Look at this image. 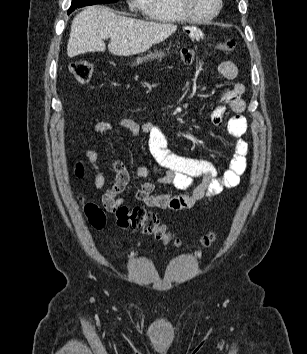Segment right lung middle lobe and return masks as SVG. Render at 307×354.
Instances as JSON below:
<instances>
[{"instance_id":"obj_1","label":"right lung middle lobe","mask_w":307,"mask_h":354,"mask_svg":"<svg viewBox=\"0 0 307 354\" xmlns=\"http://www.w3.org/2000/svg\"><path fill=\"white\" fill-rule=\"evenodd\" d=\"M118 0H73L71 3V7L68 10V14H70L76 8L84 7L87 5H94V4H102V3H114Z\"/></svg>"}]
</instances>
